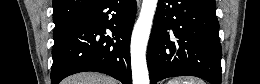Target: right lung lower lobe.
I'll return each mask as SVG.
<instances>
[{
    "instance_id": "1",
    "label": "right lung lower lobe",
    "mask_w": 260,
    "mask_h": 84,
    "mask_svg": "<svg viewBox=\"0 0 260 84\" xmlns=\"http://www.w3.org/2000/svg\"><path fill=\"white\" fill-rule=\"evenodd\" d=\"M135 15L136 0H98L55 29L52 84L84 71L105 73L132 84L130 39Z\"/></svg>"
}]
</instances>
